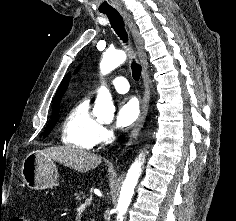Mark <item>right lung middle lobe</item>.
<instances>
[{
    "label": "right lung middle lobe",
    "instance_id": "dd1d6c3e",
    "mask_svg": "<svg viewBox=\"0 0 236 221\" xmlns=\"http://www.w3.org/2000/svg\"><path fill=\"white\" fill-rule=\"evenodd\" d=\"M58 114H59V105L53 106L51 121L49 122V124L47 125V127L44 131V137H46L51 132V130L54 128V126L57 122Z\"/></svg>",
    "mask_w": 236,
    "mask_h": 221
}]
</instances>
